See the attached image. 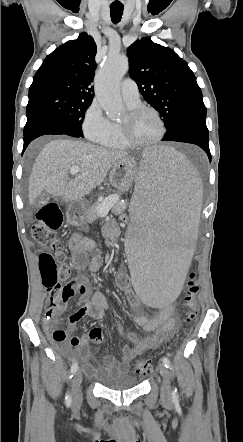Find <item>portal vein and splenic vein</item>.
Instances as JSON below:
<instances>
[{
    "instance_id": "obj_1",
    "label": "portal vein and splenic vein",
    "mask_w": 243,
    "mask_h": 442,
    "mask_svg": "<svg viewBox=\"0 0 243 442\" xmlns=\"http://www.w3.org/2000/svg\"><path fill=\"white\" fill-rule=\"evenodd\" d=\"M79 170L80 169L78 166H73L70 168V174L75 175L79 172ZM118 198L119 197L117 195H114L109 200L103 202V204L98 208V215L100 217H105L113 205L117 202Z\"/></svg>"
}]
</instances>
